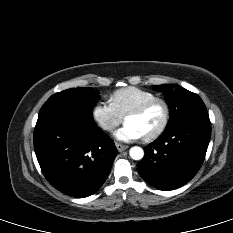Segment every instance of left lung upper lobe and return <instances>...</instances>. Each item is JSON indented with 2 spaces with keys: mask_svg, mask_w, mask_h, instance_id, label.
<instances>
[{
  "mask_svg": "<svg viewBox=\"0 0 233 233\" xmlns=\"http://www.w3.org/2000/svg\"><path fill=\"white\" fill-rule=\"evenodd\" d=\"M155 90L164 91L170 109L167 128L193 118H209L202 99L195 93L175 84L153 85Z\"/></svg>",
  "mask_w": 233,
  "mask_h": 233,
  "instance_id": "1",
  "label": "left lung upper lobe"
}]
</instances>
